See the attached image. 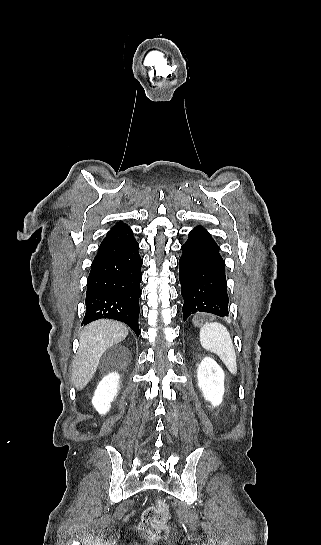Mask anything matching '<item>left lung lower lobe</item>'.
Returning <instances> with one entry per match:
<instances>
[{
	"label": "left lung lower lobe",
	"mask_w": 321,
	"mask_h": 545,
	"mask_svg": "<svg viewBox=\"0 0 321 545\" xmlns=\"http://www.w3.org/2000/svg\"><path fill=\"white\" fill-rule=\"evenodd\" d=\"M181 250L179 280L184 299V321L198 312L227 316L225 262L210 233L202 226H197L189 232Z\"/></svg>",
	"instance_id": "0a47b994"
}]
</instances>
